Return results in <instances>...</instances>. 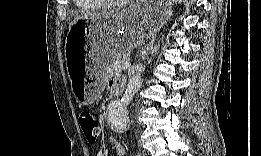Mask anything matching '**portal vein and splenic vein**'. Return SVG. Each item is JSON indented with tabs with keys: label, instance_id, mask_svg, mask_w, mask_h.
Listing matches in <instances>:
<instances>
[{
	"label": "portal vein and splenic vein",
	"instance_id": "1",
	"mask_svg": "<svg viewBox=\"0 0 261 156\" xmlns=\"http://www.w3.org/2000/svg\"><path fill=\"white\" fill-rule=\"evenodd\" d=\"M130 65H131V63L129 61H126L124 64H122L121 68L122 69H127V68L130 67Z\"/></svg>",
	"mask_w": 261,
	"mask_h": 156
}]
</instances>
